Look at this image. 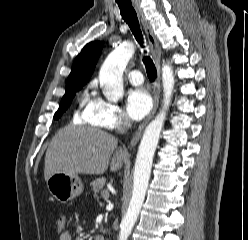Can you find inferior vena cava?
<instances>
[{
	"mask_svg": "<svg viewBox=\"0 0 248 240\" xmlns=\"http://www.w3.org/2000/svg\"><path fill=\"white\" fill-rule=\"evenodd\" d=\"M129 127H130V120L128 118H126L121 123V125L118 127V131L120 133H125Z\"/></svg>",
	"mask_w": 248,
	"mask_h": 240,
	"instance_id": "inferior-vena-cava-1",
	"label": "inferior vena cava"
}]
</instances>
